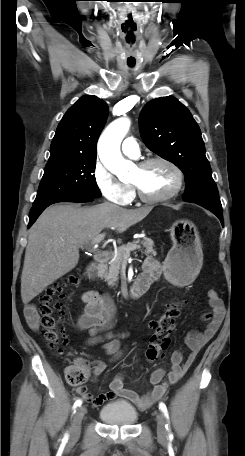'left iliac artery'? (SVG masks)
<instances>
[{
    "instance_id": "1",
    "label": "left iliac artery",
    "mask_w": 245,
    "mask_h": 456,
    "mask_svg": "<svg viewBox=\"0 0 245 456\" xmlns=\"http://www.w3.org/2000/svg\"><path fill=\"white\" fill-rule=\"evenodd\" d=\"M159 409L163 412L164 416H165L166 419L168 420V419H169V415H168L167 407H166V405H165L163 402H161V403L159 404ZM166 428H167V430L170 432V426H169V424L166 425ZM170 436H171V434H170Z\"/></svg>"
}]
</instances>
